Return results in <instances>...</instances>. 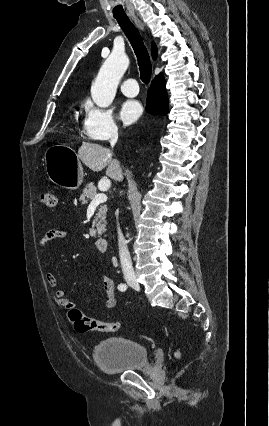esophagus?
<instances>
[{
  "label": "esophagus",
  "instance_id": "esophagus-1",
  "mask_svg": "<svg viewBox=\"0 0 269 426\" xmlns=\"http://www.w3.org/2000/svg\"><path fill=\"white\" fill-rule=\"evenodd\" d=\"M132 19L134 20V22L136 23V25L141 29V30H143L144 29V27H143V24L141 23V21L136 17V16H134V17H132Z\"/></svg>",
  "mask_w": 269,
  "mask_h": 426
}]
</instances>
